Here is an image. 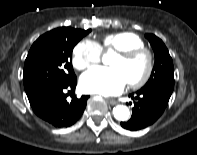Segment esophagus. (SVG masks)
Listing matches in <instances>:
<instances>
[{"mask_svg": "<svg viewBox=\"0 0 197 155\" xmlns=\"http://www.w3.org/2000/svg\"><path fill=\"white\" fill-rule=\"evenodd\" d=\"M108 102H109L111 105H116V104H117V101H115V100H108Z\"/></svg>", "mask_w": 197, "mask_h": 155, "instance_id": "1", "label": "esophagus"}]
</instances>
